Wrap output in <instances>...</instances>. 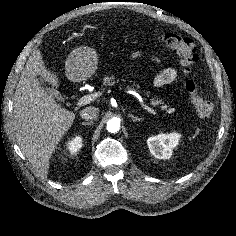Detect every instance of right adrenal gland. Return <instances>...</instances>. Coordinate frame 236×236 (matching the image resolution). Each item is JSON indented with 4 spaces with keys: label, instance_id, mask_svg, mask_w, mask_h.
<instances>
[{
    "label": "right adrenal gland",
    "instance_id": "1",
    "mask_svg": "<svg viewBox=\"0 0 236 236\" xmlns=\"http://www.w3.org/2000/svg\"><path fill=\"white\" fill-rule=\"evenodd\" d=\"M81 124H82V125H85V126H86V125H92V122H82Z\"/></svg>",
    "mask_w": 236,
    "mask_h": 236
}]
</instances>
